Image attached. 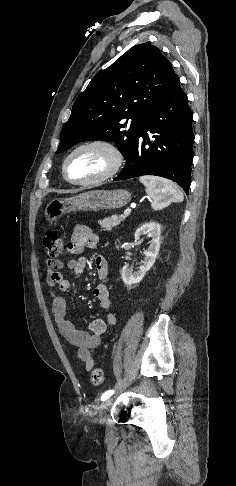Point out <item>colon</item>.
<instances>
[{
    "label": "colon",
    "instance_id": "colon-1",
    "mask_svg": "<svg viewBox=\"0 0 236 486\" xmlns=\"http://www.w3.org/2000/svg\"><path fill=\"white\" fill-rule=\"evenodd\" d=\"M43 244L45 246L48 257L51 260H55L64 249V241L55 231L48 232L44 239ZM104 374L103 370L99 367L94 368L91 372V382L95 386H100L103 383Z\"/></svg>",
    "mask_w": 236,
    "mask_h": 486
}]
</instances>
